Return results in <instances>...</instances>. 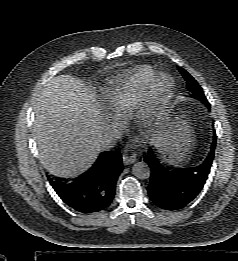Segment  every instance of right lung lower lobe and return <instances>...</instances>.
I'll use <instances>...</instances> for the list:
<instances>
[{"label": "right lung lower lobe", "mask_w": 238, "mask_h": 261, "mask_svg": "<svg viewBox=\"0 0 238 261\" xmlns=\"http://www.w3.org/2000/svg\"><path fill=\"white\" fill-rule=\"evenodd\" d=\"M119 151H105L88 171L75 179L49 178L58 196L74 210L88 214L105 210L113 201L122 171Z\"/></svg>", "instance_id": "right-lung-lower-lobe-1"}]
</instances>
